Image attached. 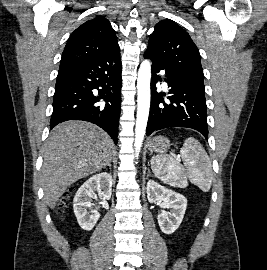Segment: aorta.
<instances>
[{"mask_svg":"<svg viewBox=\"0 0 267 270\" xmlns=\"http://www.w3.org/2000/svg\"><path fill=\"white\" fill-rule=\"evenodd\" d=\"M150 81H151V63L144 60L138 71L137 78V118L135 127V153L138 157L143 139L146 132V126L150 109Z\"/></svg>","mask_w":267,"mask_h":270,"instance_id":"762f6f07","label":"aorta"}]
</instances>
